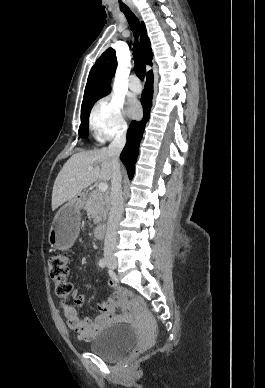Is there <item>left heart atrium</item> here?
<instances>
[{"mask_svg":"<svg viewBox=\"0 0 265 388\" xmlns=\"http://www.w3.org/2000/svg\"><path fill=\"white\" fill-rule=\"evenodd\" d=\"M140 112H141V108H140L139 103L136 100L130 101V103L128 105V114L131 117L136 118L140 115Z\"/></svg>","mask_w":265,"mask_h":388,"instance_id":"obj_1","label":"left heart atrium"}]
</instances>
